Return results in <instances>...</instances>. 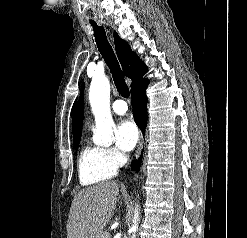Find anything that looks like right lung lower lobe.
Listing matches in <instances>:
<instances>
[{
  "label": "right lung lower lobe",
  "mask_w": 247,
  "mask_h": 238,
  "mask_svg": "<svg viewBox=\"0 0 247 238\" xmlns=\"http://www.w3.org/2000/svg\"><path fill=\"white\" fill-rule=\"evenodd\" d=\"M149 81L146 80L135 89L131 91L132 96V107L134 109V120L136 124L140 127L142 131H144L147 122V96L145 94V90L148 86ZM142 156L139 161L136 163H132V167L137 169L141 164Z\"/></svg>",
  "instance_id": "obj_1"
}]
</instances>
